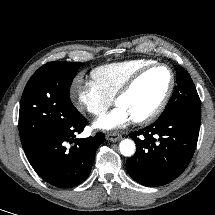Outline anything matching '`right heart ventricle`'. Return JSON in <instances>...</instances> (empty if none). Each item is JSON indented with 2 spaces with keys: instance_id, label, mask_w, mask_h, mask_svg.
Returning a JSON list of instances; mask_svg holds the SVG:
<instances>
[{
  "instance_id": "1",
  "label": "right heart ventricle",
  "mask_w": 215,
  "mask_h": 215,
  "mask_svg": "<svg viewBox=\"0 0 215 215\" xmlns=\"http://www.w3.org/2000/svg\"><path fill=\"white\" fill-rule=\"evenodd\" d=\"M154 62L150 59H133L105 64L92 70V81L107 96L114 98L132 75Z\"/></svg>"
}]
</instances>
